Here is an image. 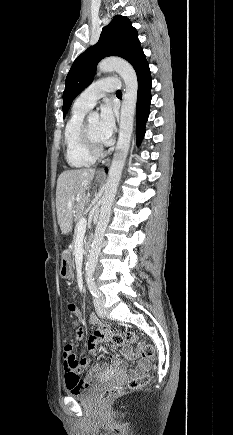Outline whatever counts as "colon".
<instances>
[{"instance_id": "obj_1", "label": "colon", "mask_w": 233, "mask_h": 435, "mask_svg": "<svg viewBox=\"0 0 233 435\" xmlns=\"http://www.w3.org/2000/svg\"><path fill=\"white\" fill-rule=\"evenodd\" d=\"M69 309L74 311V307L70 306ZM72 324L76 325L75 316L72 317ZM111 340L115 344L124 343H134L142 358L148 362H153L156 359V349L152 345L146 343L144 340L140 339L137 333L133 331H128L125 333H120L118 331H113L111 333ZM64 357L73 354V345L67 343L63 347ZM77 365V362H74ZM150 381L149 373H140L132 377L126 384L109 386L102 389L99 394L98 400L103 405L110 404L115 398L125 391L138 390L141 387L148 384ZM68 390L72 393H78L86 389L87 384L83 382L79 376L76 374H69L67 376Z\"/></svg>"}]
</instances>
